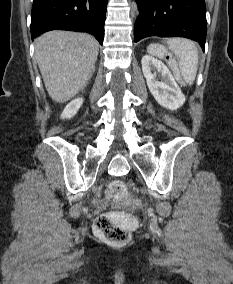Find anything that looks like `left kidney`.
<instances>
[{
  "label": "left kidney",
  "instance_id": "obj_1",
  "mask_svg": "<svg viewBox=\"0 0 233 284\" xmlns=\"http://www.w3.org/2000/svg\"><path fill=\"white\" fill-rule=\"evenodd\" d=\"M141 63L148 88L156 101L169 110L181 107L185 96L167 66L150 55H144Z\"/></svg>",
  "mask_w": 233,
  "mask_h": 284
}]
</instances>
